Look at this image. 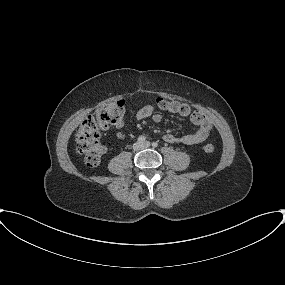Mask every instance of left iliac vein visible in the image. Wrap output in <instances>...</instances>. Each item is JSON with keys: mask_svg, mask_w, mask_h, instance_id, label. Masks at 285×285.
I'll use <instances>...</instances> for the list:
<instances>
[{"mask_svg": "<svg viewBox=\"0 0 285 285\" xmlns=\"http://www.w3.org/2000/svg\"><path fill=\"white\" fill-rule=\"evenodd\" d=\"M142 146H143L144 148H149V147H150V142L146 141V142H144V143L142 144Z\"/></svg>", "mask_w": 285, "mask_h": 285, "instance_id": "1", "label": "left iliac vein"}]
</instances>
